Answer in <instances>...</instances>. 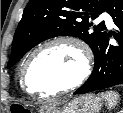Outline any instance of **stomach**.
I'll return each mask as SVG.
<instances>
[{"label":"stomach","instance_id":"obj_1","mask_svg":"<svg viewBox=\"0 0 123 113\" xmlns=\"http://www.w3.org/2000/svg\"><path fill=\"white\" fill-rule=\"evenodd\" d=\"M102 105L103 99L100 96L88 94L75 97L63 105L42 109L40 113H98Z\"/></svg>","mask_w":123,"mask_h":113}]
</instances>
